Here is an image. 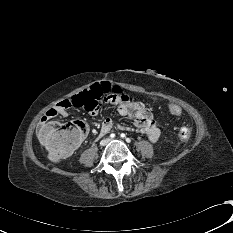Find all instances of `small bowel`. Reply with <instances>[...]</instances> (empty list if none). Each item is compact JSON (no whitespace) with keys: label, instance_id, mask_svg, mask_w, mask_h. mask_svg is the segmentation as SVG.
I'll list each match as a JSON object with an SVG mask.
<instances>
[{"label":"small bowel","instance_id":"small-bowel-1","mask_svg":"<svg viewBox=\"0 0 233 233\" xmlns=\"http://www.w3.org/2000/svg\"><path fill=\"white\" fill-rule=\"evenodd\" d=\"M110 103L117 105L118 113L121 116L131 117L136 130L145 135L151 142H156L159 139L160 130L156 126L151 108L147 104L137 102L133 96H128L122 90H115L112 94H108L102 97L100 101L95 102L91 111L98 114L103 108L108 107ZM71 107L69 99H65L50 108L41 119L40 130L47 125L50 119L56 116H67ZM114 126L122 130H132L126 125L114 122L111 118H105L101 123V131L108 133Z\"/></svg>","mask_w":233,"mask_h":233}]
</instances>
